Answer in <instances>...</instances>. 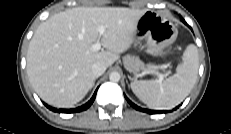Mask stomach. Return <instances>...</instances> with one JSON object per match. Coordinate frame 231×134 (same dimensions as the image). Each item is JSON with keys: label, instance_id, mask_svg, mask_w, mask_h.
I'll use <instances>...</instances> for the list:
<instances>
[{"label": "stomach", "instance_id": "obj_1", "mask_svg": "<svg viewBox=\"0 0 231 134\" xmlns=\"http://www.w3.org/2000/svg\"><path fill=\"white\" fill-rule=\"evenodd\" d=\"M177 35L178 30L170 20L148 10L137 22L134 41L146 40V52L152 56H162Z\"/></svg>", "mask_w": 231, "mask_h": 134}]
</instances>
